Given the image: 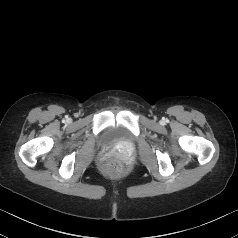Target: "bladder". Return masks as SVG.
Instances as JSON below:
<instances>
[{
	"instance_id": "obj_1",
	"label": "bladder",
	"mask_w": 238,
	"mask_h": 238,
	"mask_svg": "<svg viewBox=\"0 0 238 238\" xmlns=\"http://www.w3.org/2000/svg\"><path fill=\"white\" fill-rule=\"evenodd\" d=\"M101 140L106 145H117L126 142V132L121 127H109L101 135Z\"/></svg>"
}]
</instances>
